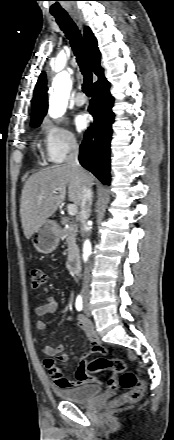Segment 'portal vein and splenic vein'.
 Here are the masks:
<instances>
[{
    "label": "portal vein and splenic vein",
    "mask_w": 174,
    "mask_h": 440,
    "mask_svg": "<svg viewBox=\"0 0 174 440\" xmlns=\"http://www.w3.org/2000/svg\"><path fill=\"white\" fill-rule=\"evenodd\" d=\"M43 198H44V196H40L39 197L40 200L43 199ZM67 209H68V214L70 216H75L77 214V212H78L77 205H75V204H69L67 206Z\"/></svg>",
    "instance_id": "portal-vein-and-splenic-vein-1"
}]
</instances>
